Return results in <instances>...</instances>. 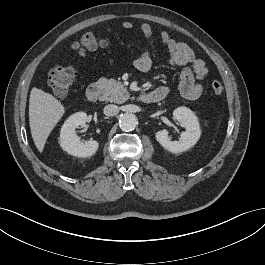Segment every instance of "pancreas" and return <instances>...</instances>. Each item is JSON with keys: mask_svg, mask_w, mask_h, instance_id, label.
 Wrapping results in <instances>:
<instances>
[{"mask_svg": "<svg viewBox=\"0 0 265 265\" xmlns=\"http://www.w3.org/2000/svg\"><path fill=\"white\" fill-rule=\"evenodd\" d=\"M102 91L101 101L123 103L129 98V92L124 85L114 79H99L96 83Z\"/></svg>", "mask_w": 265, "mask_h": 265, "instance_id": "pancreas-1", "label": "pancreas"}]
</instances>
